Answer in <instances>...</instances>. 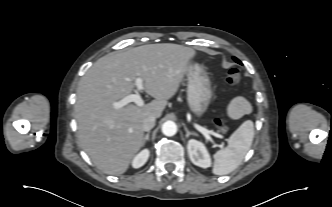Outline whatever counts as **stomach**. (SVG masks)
Masks as SVG:
<instances>
[{"label":"stomach","mask_w":332,"mask_h":207,"mask_svg":"<svg viewBox=\"0 0 332 207\" xmlns=\"http://www.w3.org/2000/svg\"><path fill=\"white\" fill-rule=\"evenodd\" d=\"M186 76L188 105L200 118L206 112L212 98L210 80L203 66L197 63L189 64Z\"/></svg>","instance_id":"stomach-1"}]
</instances>
